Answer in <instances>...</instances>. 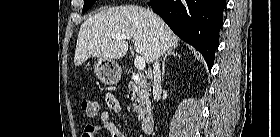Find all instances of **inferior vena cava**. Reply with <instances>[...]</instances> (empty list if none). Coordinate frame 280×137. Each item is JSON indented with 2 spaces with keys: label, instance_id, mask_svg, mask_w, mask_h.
I'll return each instance as SVG.
<instances>
[{
  "label": "inferior vena cava",
  "instance_id": "inferior-vena-cava-1",
  "mask_svg": "<svg viewBox=\"0 0 280 137\" xmlns=\"http://www.w3.org/2000/svg\"><path fill=\"white\" fill-rule=\"evenodd\" d=\"M153 76H154L153 94L155 97H157L161 93V74H160V66H159L158 59H156L153 64Z\"/></svg>",
  "mask_w": 280,
  "mask_h": 137
}]
</instances>
